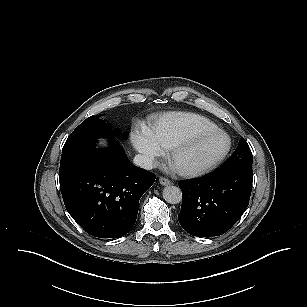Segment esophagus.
I'll use <instances>...</instances> for the list:
<instances>
[{"mask_svg":"<svg viewBox=\"0 0 307 307\" xmlns=\"http://www.w3.org/2000/svg\"><path fill=\"white\" fill-rule=\"evenodd\" d=\"M159 183L163 186H168L172 184V181H170L169 179H166L164 177H160L159 178Z\"/></svg>","mask_w":307,"mask_h":307,"instance_id":"1","label":"esophagus"}]
</instances>
